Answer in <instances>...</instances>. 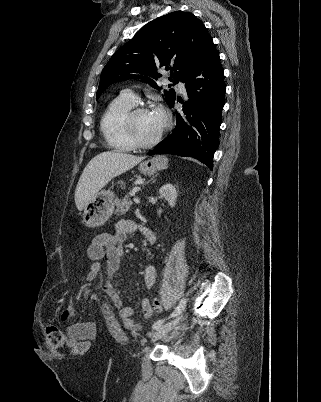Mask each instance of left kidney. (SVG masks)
Masks as SVG:
<instances>
[{
	"label": "left kidney",
	"instance_id": "left-kidney-1",
	"mask_svg": "<svg viewBox=\"0 0 321 402\" xmlns=\"http://www.w3.org/2000/svg\"><path fill=\"white\" fill-rule=\"evenodd\" d=\"M159 194L166 201H168L170 207L175 206L178 193H177L176 188L172 184L168 183V184L163 185L159 190Z\"/></svg>",
	"mask_w": 321,
	"mask_h": 402
}]
</instances>
